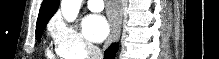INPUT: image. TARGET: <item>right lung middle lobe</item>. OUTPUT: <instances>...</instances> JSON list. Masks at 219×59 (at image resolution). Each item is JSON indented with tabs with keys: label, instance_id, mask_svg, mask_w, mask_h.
Masks as SVG:
<instances>
[{
	"label": "right lung middle lobe",
	"instance_id": "dd1d6c3e",
	"mask_svg": "<svg viewBox=\"0 0 219 59\" xmlns=\"http://www.w3.org/2000/svg\"><path fill=\"white\" fill-rule=\"evenodd\" d=\"M44 28H45V26H42V27H39L36 29V38H37L38 42H40V40H41V36H42L43 31H44Z\"/></svg>",
	"mask_w": 219,
	"mask_h": 59
}]
</instances>
